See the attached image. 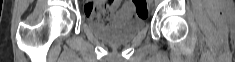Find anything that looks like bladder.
Wrapping results in <instances>:
<instances>
[{
  "label": "bladder",
  "instance_id": "1",
  "mask_svg": "<svg viewBox=\"0 0 235 62\" xmlns=\"http://www.w3.org/2000/svg\"><path fill=\"white\" fill-rule=\"evenodd\" d=\"M87 25L99 39L118 44L130 41L138 35L145 27V19L131 10H122L115 13L108 24L88 21Z\"/></svg>",
  "mask_w": 235,
  "mask_h": 62
}]
</instances>
